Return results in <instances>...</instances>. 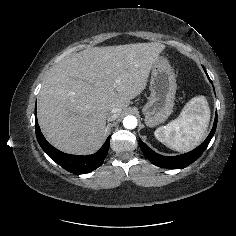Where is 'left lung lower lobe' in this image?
<instances>
[{"label":"left lung lower lobe","mask_w":236,"mask_h":236,"mask_svg":"<svg viewBox=\"0 0 236 236\" xmlns=\"http://www.w3.org/2000/svg\"><path fill=\"white\" fill-rule=\"evenodd\" d=\"M204 71L207 74L205 68H204ZM207 76H208V74H207ZM208 78H209V76H208ZM209 80H210V78H209ZM216 126H217V113L215 116L213 128H212L210 134L208 135V137L206 138V140L200 146L195 148L194 150H192L188 153H185V154L178 155V156L170 157V156H162L160 154H157L156 152L151 150L142 141H140L139 145H140V148H141L144 156L154 165L162 167V168L183 169V168L187 167L189 164L196 161L202 155V153L207 148L210 140L212 139V137L215 133Z\"/></svg>","instance_id":"obj_1"}]
</instances>
